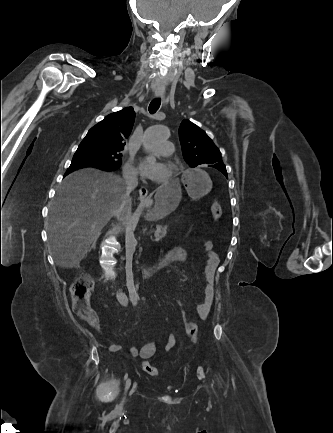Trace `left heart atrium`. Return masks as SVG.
Wrapping results in <instances>:
<instances>
[{"label":"left heart atrium","instance_id":"39dd6f15","mask_svg":"<svg viewBox=\"0 0 333 433\" xmlns=\"http://www.w3.org/2000/svg\"><path fill=\"white\" fill-rule=\"evenodd\" d=\"M139 171L143 177L155 181L163 180L167 176L165 164L148 159L140 161Z\"/></svg>","mask_w":333,"mask_h":433}]
</instances>
